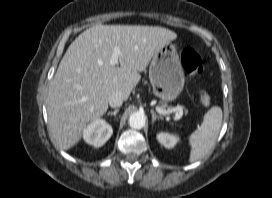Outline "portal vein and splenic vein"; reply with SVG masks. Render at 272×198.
<instances>
[{"mask_svg": "<svg viewBox=\"0 0 272 198\" xmlns=\"http://www.w3.org/2000/svg\"><path fill=\"white\" fill-rule=\"evenodd\" d=\"M119 55H120V50L118 48H115L114 51H113V54H112V57L110 59V64L112 66H115L118 64V59H119ZM181 110V107H175L171 110H165V109H162L160 107H156V111L161 114V115H168L172 112H175V111H180ZM180 117V115L177 113L175 118L178 119Z\"/></svg>", "mask_w": 272, "mask_h": 198, "instance_id": "obj_1", "label": "portal vein and splenic vein"}]
</instances>
